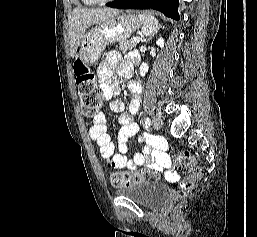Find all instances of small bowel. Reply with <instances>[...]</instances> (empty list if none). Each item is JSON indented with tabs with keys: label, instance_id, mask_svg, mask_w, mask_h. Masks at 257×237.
Instances as JSON below:
<instances>
[{
	"label": "small bowel",
	"instance_id": "obj_1",
	"mask_svg": "<svg viewBox=\"0 0 257 237\" xmlns=\"http://www.w3.org/2000/svg\"><path fill=\"white\" fill-rule=\"evenodd\" d=\"M112 68L117 69L120 75L126 77L132 75L133 68L131 62L122 60L120 54L115 51L108 52L98 68V76L102 82V93L104 98L108 100V109L114 113H122L124 103L113 98V94L119 90V85L112 77ZM129 89L133 97L128 105V112L122 113L119 118L121 124L118 134L119 152L114 154V144L107 133L106 117L102 112L94 117L93 124L89 128L90 138L99 146L101 157L114 169L135 170L147 163L151 169L163 172L167 179L176 180L178 175L170 169L171 160L166 153L167 144L161 137H146V145L141 151L136 152L133 158H129L127 141L139 131V125L134 121V116L139 107L140 85L137 82H130Z\"/></svg>",
	"mask_w": 257,
	"mask_h": 237
}]
</instances>
